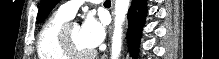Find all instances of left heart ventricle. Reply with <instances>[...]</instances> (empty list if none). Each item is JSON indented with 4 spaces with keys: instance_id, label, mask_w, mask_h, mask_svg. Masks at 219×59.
<instances>
[{
    "instance_id": "left-heart-ventricle-1",
    "label": "left heart ventricle",
    "mask_w": 219,
    "mask_h": 59,
    "mask_svg": "<svg viewBox=\"0 0 219 59\" xmlns=\"http://www.w3.org/2000/svg\"><path fill=\"white\" fill-rule=\"evenodd\" d=\"M69 35L70 38L74 44V46L80 50V51H89L91 50L90 48H88L84 42L82 41L81 37H80V27L76 24H71L69 26Z\"/></svg>"
}]
</instances>
